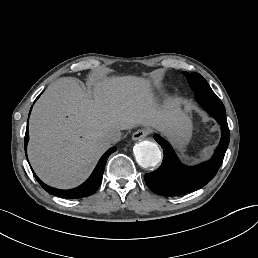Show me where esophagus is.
Returning <instances> with one entry per match:
<instances>
[{"mask_svg": "<svg viewBox=\"0 0 258 258\" xmlns=\"http://www.w3.org/2000/svg\"><path fill=\"white\" fill-rule=\"evenodd\" d=\"M149 134H150V129H148V128L139 129L133 133L132 139L134 141L142 140Z\"/></svg>", "mask_w": 258, "mask_h": 258, "instance_id": "34e87169", "label": "esophagus"}]
</instances>
